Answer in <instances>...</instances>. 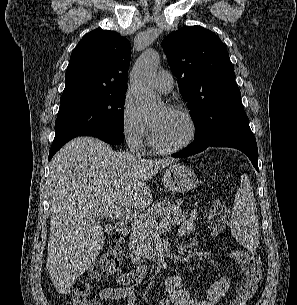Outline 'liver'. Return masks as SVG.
Listing matches in <instances>:
<instances>
[{
	"mask_svg": "<svg viewBox=\"0 0 297 305\" xmlns=\"http://www.w3.org/2000/svg\"><path fill=\"white\" fill-rule=\"evenodd\" d=\"M174 159L147 160L116 152L93 137H77L50 163V235L46 268L59 294L96 260L104 244L98 210L111 204L144 208L152 201L147 181Z\"/></svg>",
	"mask_w": 297,
	"mask_h": 305,
	"instance_id": "6515ba94",
	"label": "liver"
}]
</instances>
